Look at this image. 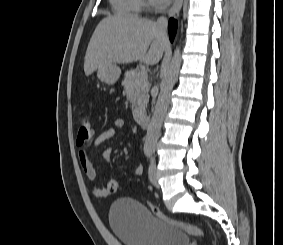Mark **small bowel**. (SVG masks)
Listing matches in <instances>:
<instances>
[{
    "mask_svg": "<svg viewBox=\"0 0 283 245\" xmlns=\"http://www.w3.org/2000/svg\"><path fill=\"white\" fill-rule=\"evenodd\" d=\"M125 126H126V122L124 119L122 118L116 119L112 127L104 130L96 137V139L94 140V146H99L105 143L106 141L112 139L113 137L116 136L117 131L119 129L125 128ZM111 152L112 151L110 147H106L103 151V157L106 160V162L109 164L111 162ZM79 161L86 177L92 184V189L94 194L97 196H107L108 194L106 189L96 184L97 172L86 150L84 149L79 150ZM142 173H143L142 165H137L135 167V174L141 175Z\"/></svg>",
    "mask_w": 283,
    "mask_h": 245,
    "instance_id": "small-bowel-1",
    "label": "small bowel"
}]
</instances>
